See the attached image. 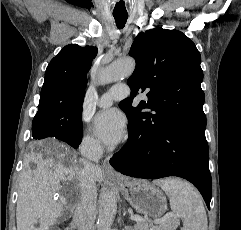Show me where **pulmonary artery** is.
<instances>
[{
	"label": "pulmonary artery",
	"mask_w": 241,
	"mask_h": 230,
	"mask_svg": "<svg viewBox=\"0 0 241 230\" xmlns=\"http://www.w3.org/2000/svg\"><path fill=\"white\" fill-rule=\"evenodd\" d=\"M129 96V87L126 84H118L110 89L109 92L102 95L97 104L99 107H109L113 100H122Z\"/></svg>",
	"instance_id": "pulmonary-artery-1"
}]
</instances>
